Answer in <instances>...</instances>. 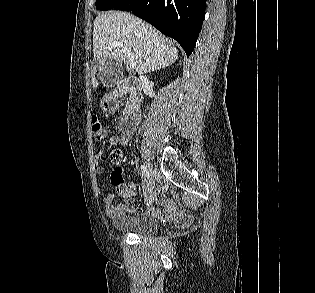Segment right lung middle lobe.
Listing matches in <instances>:
<instances>
[{"instance_id":"1","label":"right lung middle lobe","mask_w":315,"mask_h":293,"mask_svg":"<svg viewBox=\"0 0 315 293\" xmlns=\"http://www.w3.org/2000/svg\"><path fill=\"white\" fill-rule=\"evenodd\" d=\"M122 0H96V8L98 10L113 9Z\"/></svg>"}]
</instances>
